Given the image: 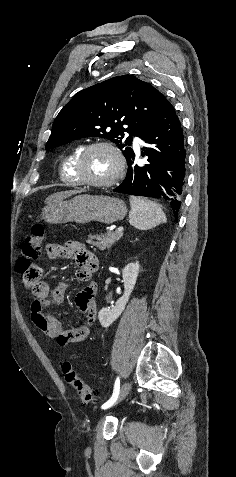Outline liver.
<instances>
[{"instance_id":"obj_1","label":"liver","mask_w":236,"mask_h":477,"mask_svg":"<svg viewBox=\"0 0 236 477\" xmlns=\"http://www.w3.org/2000/svg\"><path fill=\"white\" fill-rule=\"evenodd\" d=\"M79 192L80 191H77V190H70L65 192L54 193L46 198L45 203L47 205L57 204L64 201V199L70 197L71 195L77 194Z\"/></svg>"}]
</instances>
